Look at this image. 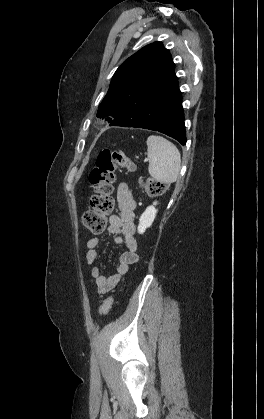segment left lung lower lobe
Returning <instances> with one entry per match:
<instances>
[{
  "label": "left lung lower lobe",
  "instance_id": "obj_1",
  "mask_svg": "<svg viewBox=\"0 0 264 419\" xmlns=\"http://www.w3.org/2000/svg\"><path fill=\"white\" fill-rule=\"evenodd\" d=\"M110 126L139 127L164 133L186 144L182 96L177 77L146 89L141 99L121 116L109 120Z\"/></svg>",
  "mask_w": 264,
  "mask_h": 419
}]
</instances>
